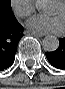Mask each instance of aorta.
<instances>
[{
    "label": "aorta",
    "mask_w": 65,
    "mask_h": 89,
    "mask_svg": "<svg viewBox=\"0 0 65 89\" xmlns=\"http://www.w3.org/2000/svg\"><path fill=\"white\" fill-rule=\"evenodd\" d=\"M48 3L49 2L46 1V0H39L37 2V7L39 9H41V10H45L47 8ZM42 45H43V48H44L45 51L53 52V51H56L58 49V47H59V40L54 35H47L43 39Z\"/></svg>",
    "instance_id": "1"
}]
</instances>
